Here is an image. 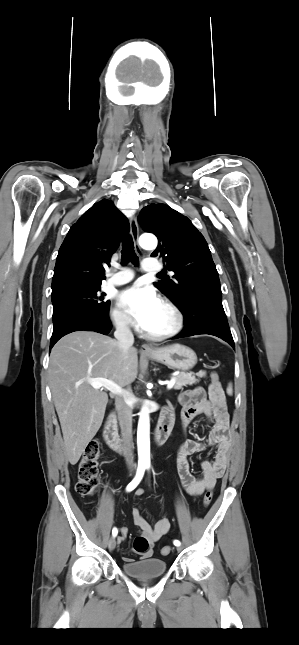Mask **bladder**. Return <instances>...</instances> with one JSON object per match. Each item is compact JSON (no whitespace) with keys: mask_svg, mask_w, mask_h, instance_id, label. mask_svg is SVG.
<instances>
[{"mask_svg":"<svg viewBox=\"0 0 299 645\" xmlns=\"http://www.w3.org/2000/svg\"><path fill=\"white\" fill-rule=\"evenodd\" d=\"M123 573L133 578L159 577L166 573L167 562L161 558L150 557L139 561L124 562Z\"/></svg>","mask_w":299,"mask_h":645,"instance_id":"31cf9c89","label":"bladder"}]
</instances>
